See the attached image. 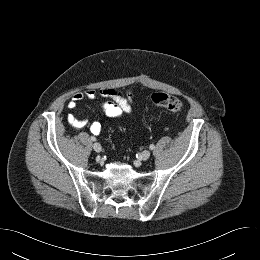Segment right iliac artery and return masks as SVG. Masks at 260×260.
<instances>
[{
    "mask_svg": "<svg viewBox=\"0 0 260 260\" xmlns=\"http://www.w3.org/2000/svg\"><path fill=\"white\" fill-rule=\"evenodd\" d=\"M91 140H92V141H95L96 138H95L94 136H91Z\"/></svg>",
    "mask_w": 260,
    "mask_h": 260,
    "instance_id": "right-iliac-artery-1",
    "label": "right iliac artery"
}]
</instances>
